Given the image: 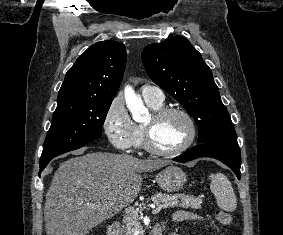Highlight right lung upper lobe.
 <instances>
[{
  "label": "right lung upper lobe",
  "instance_id": "right-lung-upper-lobe-1",
  "mask_svg": "<svg viewBox=\"0 0 283 235\" xmlns=\"http://www.w3.org/2000/svg\"><path fill=\"white\" fill-rule=\"evenodd\" d=\"M126 64L122 43L106 40L92 45L66 73L58 102L74 98L113 100Z\"/></svg>",
  "mask_w": 283,
  "mask_h": 235
}]
</instances>
